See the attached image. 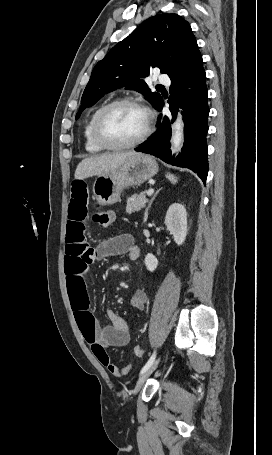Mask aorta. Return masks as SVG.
<instances>
[{
	"instance_id": "aorta-1",
	"label": "aorta",
	"mask_w": 272,
	"mask_h": 455,
	"mask_svg": "<svg viewBox=\"0 0 272 455\" xmlns=\"http://www.w3.org/2000/svg\"><path fill=\"white\" fill-rule=\"evenodd\" d=\"M183 139V124L181 117L178 116L173 125V135H172V145L174 147V152L178 151Z\"/></svg>"
}]
</instances>
